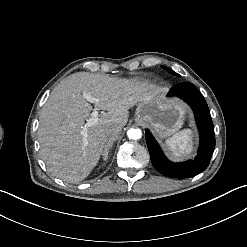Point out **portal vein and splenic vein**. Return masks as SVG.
Returning <instances> with one entry per match:
<instances>
[{
	"label": "portal vein and splenic vein",
	"mask_w": 247,
	"mask_h": 247,
	"mask_svg": "<svg viewBox=\"0 0 247 247\" xmlns=\"http://www.w3.org/2000/svg\"><path fill=\"white\" fill-rule=\"evenodd\" d=\"M83 97L90 103H96L97 102V99L92 97L91 95L87 94V93H83ZM98 111L95 109L92 113H91V118L87 119L86 121V124H85V127H90V126H93L95 125L96 123H98Z\"/></svg>",
	"instance_id": "obj_1"
}]
</instances>
